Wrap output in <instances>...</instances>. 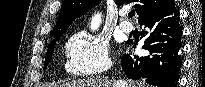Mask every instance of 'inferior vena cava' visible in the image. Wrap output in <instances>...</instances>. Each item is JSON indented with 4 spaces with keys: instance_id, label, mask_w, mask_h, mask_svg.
I'll use <instances>...</instances> for the list:
<instances>
[{
    "instance_id": "inferior-vena-cava-1",
    "label": "inferior vena cava",
    "mask_w": 205,
    "mask_h": 87,
    "mask_svg": "<svg viewBox=\"0 0 205 87\" xmlns=\"http://www.w3.org/2000/svg\"><path fill=\"white\" fill-rule=\"evenodd\" d=\"M115 84H116V85H115L116 87H122V86H123V85H122V82H116Z\"/></svg>"
}]
</instances>
